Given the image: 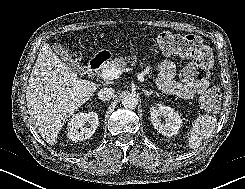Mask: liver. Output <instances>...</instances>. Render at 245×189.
<instances>
[{
    "instance_id": "obj_1",
    "label": "liver",
    "mask_w": 245,
    "mask_h": 189,
    "mask_svg": "<svg viewBox=\"0 0 245 189\" xmlns=\"http://www.w3.org/2000/svg\"><path fill=\"white\" fill-rule=\"evenodd\" d=\"M100 87L78 75L45 44L28 81L26 100L38 133L54 144L66 120Z\"/></svg>"
}]
</instances>
